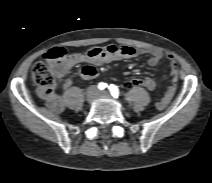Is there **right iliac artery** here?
<instances>
[{
    "instance_id": "1",
    "label": "right iliac artery",
    "mask_w": 212,
    "mask_h": 183,
    "mask_svg": "<svg viewBox=\"0 0 212 183\" xmlns=\"http://www.w3.org/2000/svg\"><path fill=\"white\" fill-rule=\"evenodd\" d=\"M106 87H107V84L104 83V82H101V83L98 84V88H99L100 90H103V89H105Z\"/></svg>"
}]
</instances>
